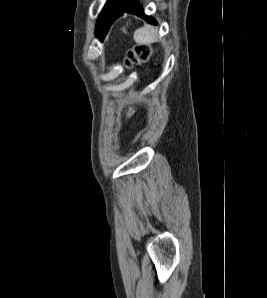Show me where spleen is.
Returning a JSON list of instances; mask_svg holds the SVG:
<instances>
[{
	"mask_svg": "<svg viewBox=\"0 0 267 298\" xmlns=\"http://www.w3.org/2000/svg\"><path fill=\"white\" fill-rule=\"evenodd\" d=\"M134 41L138 44H151L158 40L157 29L146 25L137 29L134 33Z\"/></svg>",
	"mask_w": 267,
	"mask_h": 298,
	"instance_id": "3e777b00",
	"label": "spleen"
}]
</instances>
